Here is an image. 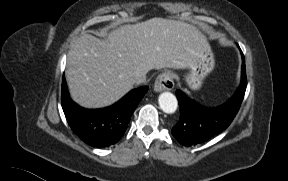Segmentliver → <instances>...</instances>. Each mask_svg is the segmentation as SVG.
<instances>
[{
    "mask_svg": "<svg viewBox=\"0 0 288 181\" xmlns=\"http://www.w3.org/2000/svg\"><path fill=\"white\" fill-rule=\"evenodd\" d=\"M204 40L195 26L160 17L117 27L106 40L84 34L67 54L69 91L81 106L111 105L152 69L188 68Z\"/></svg>",
    "mask_w": 288,
    "mask_h": 181,
    "instance_id": "6515ba94",
    "label": "liver"
}]
</instances>
